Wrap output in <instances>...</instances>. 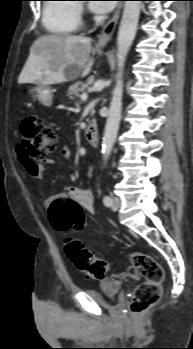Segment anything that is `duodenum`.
Returning a JSON list of instances; mask_svg holds the SVG:
<instances>
[{"label": "duodenum", "instance_id": "obj_1", "mask_svg": "<svg viewBox=\"0 0 193 349\" xmlns=\"http://www.w3.org/2000/svg\"><path fill=\"white\" fill-rule=\"evenodd\" d=\"M85 140L91 148H96L98 145V129L95 119H91L85 130Z\"/></svg>", "mask_w": 193, "mask_h": 349}]
</instances>
